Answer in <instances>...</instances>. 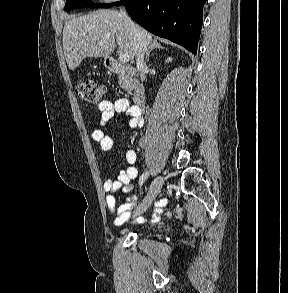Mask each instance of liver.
<instances>
[{
  "instance_id": "1",
  "label": "liver",
  "mask_w": 288,
  "mask_h": 293,
  "mask_svg": "<svg viewBox=\"0 0 288 293\" xmlns=\"http://www.w3.org/2000/svg\"><path fill=\"white\" fill-rule=\"evenodd\" d=\"M145 48L153 43L152 35L138 26ZM136 56L134 36L128 21L115 10H98L69 19L63 29V51L70 70L87 57H109L116 48Z\"/></svg>"
}]
</instances>
